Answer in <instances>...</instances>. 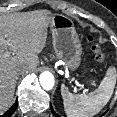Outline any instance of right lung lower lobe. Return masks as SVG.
Masks as SVG:
<instances>
[{
  "mask_svg": "<svg viewBox=\"0 0 117 117\" xmlns=\"http://www.w3.org/2000/svg\"><path fill=\"white\" fill-rule=\"evenodd\" d=\"M17 104H18V101L16 100L14 105L4 115H2L0 117H10L15 112V110L17 108Z\"/></svg>",
  "mask_w": 117,
  "mask_h": 117,
  "instance_id": "obj_1",
  "label": "right lung lower lobe"
}]
</instances>
